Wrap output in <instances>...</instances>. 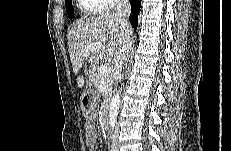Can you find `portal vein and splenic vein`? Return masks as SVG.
Here are the masks:
<instances>
[{
  "mask_svg": "<svg viewBox=\"0 0 231 151\" xmlns=\"http://www.w3.org/2000/svg\"><path fill=\"white\" fill-rule=\"evenodd\" d=\"M101 49L102 48V44L101 43H94L92 44L89 49ZM100 73L102 75H108L111 71V66L109 64H103L100 66Z\"/></svg>",
  "mask_w": 231,
  "mask_h": 151,
  "instance_id": "18ae733b",
  "label": "portal vein and splenic vein"
}]
</instances>
